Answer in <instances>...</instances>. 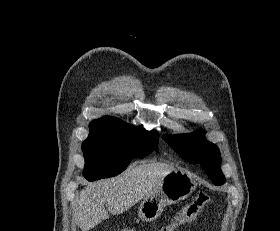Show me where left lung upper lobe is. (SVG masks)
I'll return each mask as SVG.
<instances>
[{"label": "left lung upper lobe", "instance_id": "1", "mask_svg": "<svg viewBox=\"0 0 280 231\" xmlns=\"http://www.w3.org/2000/svg\"><path fill=\"white\" fill-rule=\"evenodd\" d=\"M162 138L185 160L199 163L215 185L225 183L221 155L217 146L207 141L201 131L196 134L164 135Z\"/></svg>", "mask_w": 280, "mask_h": 231}]
</instances>
